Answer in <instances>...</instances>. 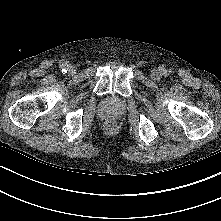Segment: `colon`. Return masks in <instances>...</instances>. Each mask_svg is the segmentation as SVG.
Listing matches in <instances>:
<instances>
[{
    "mask_svg": "<svg viewBox=\"0 0 221 221\" xmlns=\"http://www.w3.org/2000/svg\"><path fill=\"white\" fill-rule=\"evenodd\" d=\"M108 126H109V127H112V126H113V123H112V122H109V123H108Z\"/></svg>",
    "mask_w": 221,
    "mask_h": 221,
    "instance_id": "5ec220e1",
    "label": "colon"
}]
</instances>
